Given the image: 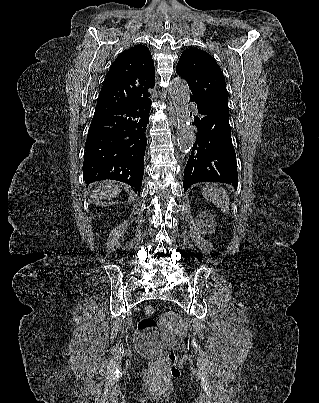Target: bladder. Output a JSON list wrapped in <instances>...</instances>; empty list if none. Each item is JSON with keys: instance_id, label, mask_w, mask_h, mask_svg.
<instances>
[{"instance_id": "1", "label": "bladder", "mask_w": 319, "mask_h": 403, "mask_svg": "<svg viewBox=\"0 0 319 403\" xmlns=\"http://www.w3.org/2000/svg\"><path fill=\"white\" fill-rule=\"evenodd\" d=\"M167 334L160 333L158 335H144L137 341V347L144 353H156L161 349L171 346V341L164 338Z\"/></svg>"}]
</instances>
